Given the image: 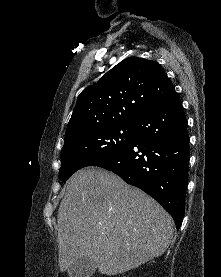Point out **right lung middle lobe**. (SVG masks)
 Returning a JSON list of instances; mask_svg holds the SVG:
<instances>
[{
  "instance_id": "1",
  "label": "right lung middle lobe",
  "mask_w": 221,
  "mask_h": 277,
  "mask_svg": "<svg viewBox=\"0 0 221 277\" xmlns=\"http://www.w3.org/2000/svg\"><path fill=\"white\" fill-rule=\"evenodd\" d=\"M133 133V124H109L89 128L65 140L59 170L61 182L83 167L94 166L124 151Z\"/></svg>"
}]
</instances>
